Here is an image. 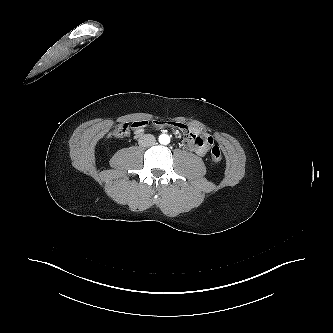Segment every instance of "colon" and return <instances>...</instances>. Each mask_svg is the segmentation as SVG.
Returning <instances> with one entry per match:
<instances>
[{
  "mask_svg": "<svg viewBox=\"0 0 333 333\" xmlns=\"http://www.w3.org/2000/svg\"><path fill=\"white\" fill-rule=\"evenodd\" d=\"M130 134V125L128 123L120 124L114 131L116 138H124ZM222 160V153L218 146H213L211 149V161L214 164L220 163Z\"/></svg>",
  "mask_w": 333,
  "mask_h": 333,
  "instance_id": "colon-1",
  "label": "colon"
}]
</instances>
